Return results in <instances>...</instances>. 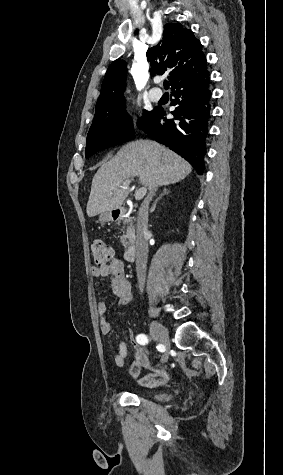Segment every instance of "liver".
I'll return each instance as SVG.
<instances>
[{
  "mask_svg": "<svg viewBox=\"0 0 283 475\" xmlns=\"http://www.w3.org/2000/svg\"><path fill=\"white\" fill-rule=\"evenodd\" d=\"M191 170L192 166L184 158L157 142H129L95 174L87 202V216L93 218L102 212L121 208L130 190L119 186L128 178L139 176L143 186L157 188L181 182Z\"/></svg>",
  "mask_w": 283,
  "mask_h": 475,
  "instance_id": "6515ba94",
  "label": "liver"
}]
</instances>
